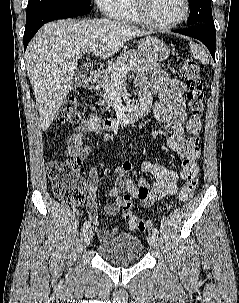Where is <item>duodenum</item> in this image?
<instances>
[{
	"label": "duodenum",
	"mask_w": 239,
	"mask_h": 303,
	"mask_svg": "<svg viewBox=\"0 0 239 303\" xmlns=\"http://www.w3.org/2000/svg\"><path fill=\"white\" fill-rule=\"evenodd\" d=\"M98 74L96 71H89L86 74L84 85L87 89H93L97 85ZM148 113L147 107L143 106L128 112L120 113L115 118H108L103 122L106 129H114L134 124Z\"/></svg>",
	"instance_id": "obj_1"
}]
</instances>
